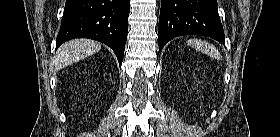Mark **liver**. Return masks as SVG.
<instances>
[{
  "label": "liver",
  "mask_w": 280,
  "mask_h": 137,
  "mask_svg": "<svg viewBox=\"0 0 280 137\" xmlns=\"http://www.w3.org/2000/svg\"><path fill=\"white\" fill-rule=\"evenodd\" d=\"M100 49L101 44L93 40H71L58 49L54 63L55 69L60 70L98 52Z\"/></svg>",
  "instance_id": "1"
}]
</instances>
